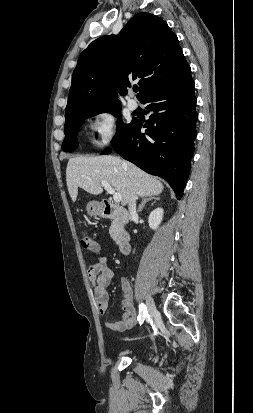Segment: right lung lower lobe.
<instances>
[{
  "label": "right lung lower lobe",
  "mask_w": 253,
  "mask_h": 413,
  "mask_svg": "<svg viewBox=\"0 0 253 413\" xmlns=\"http://www.w3.org/2000/svg\"><path fill=\"white\" fill-rule=\"evenodd\" d=\"M151 116L142 123L133 120L114 141L112 148L142 170L168 181L177 199L183 195L196 138V97L190 68L174 83L147 94L141 101ZM106 148L102 154H109Z\"/></svg>",
  "instance_id": "1"
}]
</instances>
